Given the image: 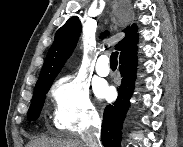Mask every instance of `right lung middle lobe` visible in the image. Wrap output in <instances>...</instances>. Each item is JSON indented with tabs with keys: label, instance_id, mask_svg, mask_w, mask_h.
<instances>
[{
	"label": "right lung middle lobe",
	"instance_id": "1",
	"mask_svg": "<svg viewBox=\"0 0 183 147\" xmlns=\"http://www.w3.org/2000/svg\"><path fill=\"white\" fill-rule=\"evenodd\" d=\"M50 87L42 88L34 91V95L31 101L30 108L28 110V120L35 121L41 112L45 101V95Z\"/></svg>",
	"mask_w": 183,
	"mask_h": 147
}]
</instances>
